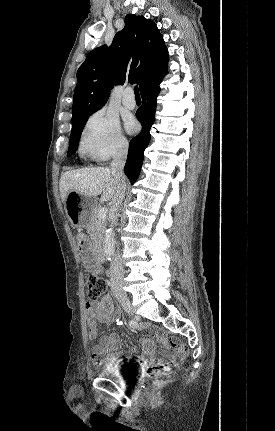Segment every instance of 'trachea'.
Listing matches in <instances>:
<instances>
[{
  "mask_svg": "<svg viewBox=\"0 0 275 431\" xmlns=\"http://www.w3.org/2000/svg\"><path fill=\"white\" fill-rule=\"evenodd\" d=\"M134 93L136 97H140L138 86L134 87Z\"/></svg>",
  "mask_w": 275,
  "mask_h": 431,
  "instance_id": "3493384b",
  "label": "trachea"
}]
</instances>
